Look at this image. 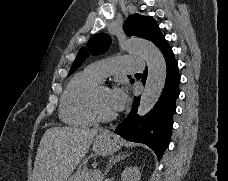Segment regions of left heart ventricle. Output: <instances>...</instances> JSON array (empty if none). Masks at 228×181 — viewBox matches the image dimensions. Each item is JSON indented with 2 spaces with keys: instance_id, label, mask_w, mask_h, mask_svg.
<instances>
[{
  "instance_id": "b2bd125f",
  "label": "left heart ventricle",
  "mask_w": 228,
  "mask_h": 181,
  "mask_svg": "<svg viewBox=\"0 0 228 181\" xmlns=\"http://www.w3.org/2000/svg\"><path fill=\"white\" fill-rule=\"evenodd\" d=\"M112 91L113 89L111 88H104L98 95L100 108L105 113H112L113 111L111 104Z\"/></svg>"
}]
</instances>
